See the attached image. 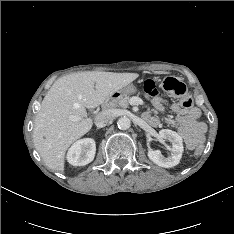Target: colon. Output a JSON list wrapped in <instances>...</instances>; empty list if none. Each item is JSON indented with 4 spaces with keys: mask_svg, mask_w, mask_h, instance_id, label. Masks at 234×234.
<instances>
[{
    "mask_svg": "<svg viewBox=\"0 0 234 234\" xmlns=\"http://www.w3.org/2000/svg\"><path fill=\"white\" fill-rule=\"evenodd\" d=\"M144 91L149 96H157L158 90L156 84L153 80H146L143 85ZM162 89L177 97L183 108H190L193 104L192 97L188 94L186 86L179 80L173 77H167L162 82ZM191 149L195 155H199L202 152V147L200 145H195Z\"/></svg>",
    "mask_w": 234,
    "mask_h": 234,
    "instance_id": "5ec220e1",
    "label": "colon"
}]
</instances>
